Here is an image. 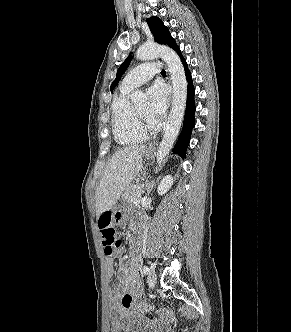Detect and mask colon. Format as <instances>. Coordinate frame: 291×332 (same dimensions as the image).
<instances>
[{"label":"colon","mask_w":291,"mask_h":332,"mask_svg":"<svg viewBox=\"0 0 291 332\" xmlns=\"http://www.w3.org/2000/svg\"><path fill=\"white\" fill-rule=\"evenodd\" d=\"M98 224L101 232L104 253L107 257H112L115 249L119 246V240L116 236L112 215L110 213L102 214L99 218Z\"/></svg>","instance_id":"colon-1"}]
</instances>
